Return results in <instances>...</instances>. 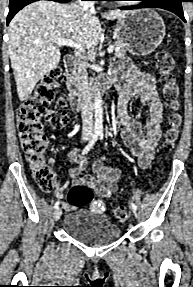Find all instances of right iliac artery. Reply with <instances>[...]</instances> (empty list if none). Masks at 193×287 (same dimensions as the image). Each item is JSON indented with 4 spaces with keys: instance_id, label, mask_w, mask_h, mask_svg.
I'll list each match as a JSON object with an SVG mask.
<instances>
[{
    "instance_id": "right-iliac-artery-1",
    "label": "right iliac artery",
    "mask_w": 193,
    "mask_h": 287,
    "mask_svg": "<svg viewBox=\"0 0 193 287\" xmlns=\"http://www.w3.org/2000/svg\"><path fill=\"white\" fill-rule=\"evenodd\" d=\"M98 136H99V132H95L92 136V139L91 141L85 146V148L82 150V155H85L87 154L90 149L93 147V145L95 144V142L97 141L98 139ZM60 204V201H57L54 205V208H57Z\"/></svg>"
}]
</instances>
